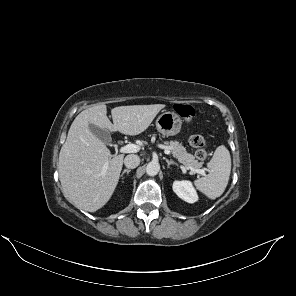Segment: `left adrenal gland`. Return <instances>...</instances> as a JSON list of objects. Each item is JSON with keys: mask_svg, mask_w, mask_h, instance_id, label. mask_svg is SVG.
I'll use <instances>...</instances> for the list:
<instances>
[{"mask_svg": "<svg viewBox=\"0 0 296 296\" xmlns=\"http://www.w3.org/2000/svg\"><path fill=\"white\" fill-rule=\"evenodd\" d=\"M166 162H167V167H168V168L170 167V165H176V166H177V163L174 162V161H172V160H168V159H166Z\"/></svg>", "mask_w": 296, "mask_h": 296, "instance_id": "obj_1", "label": "left adrenal gland"}]
</instances>
